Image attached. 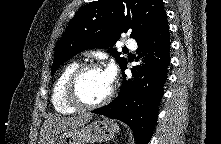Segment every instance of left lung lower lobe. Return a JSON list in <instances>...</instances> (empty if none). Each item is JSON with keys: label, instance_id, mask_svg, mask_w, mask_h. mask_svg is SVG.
<instances>
[{"label": "left lung lower lobe", "instance_id": "0a47b994", "mask_svg": "<svg viewBox=\"0 0 221 144\" xmlns=\"http://www.w3.org/2000/svg\"><path fill=\"white\" fill-rule=\"evenodd\" d=\"M137 44L139 55H146L142 69L136 72L134 80L126 81V63L122 68L123 82L118 97L92 113L126 123L132 129L137 144H148L157 122L169 66L170 38L166 14Z\"/></svg>", "mask_w": 221, "mask_h": 144}]
</instances>
